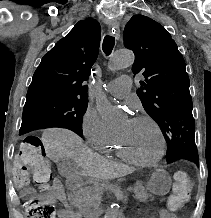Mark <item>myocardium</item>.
Segmentation results:
<instances>
[{
    "instance_id": "obj_1",
    "label": "myocardium",
    "mask_w": 211,
    "mask_h": 218,
    "mask_svg": "<svg viewBox=\"0 0 211 218\" xmlns=\"http://www.w3.org/2000/svg\"><path fill=\"white\" fill-rule=\"evenodd\" d=\"M133 119L146 120L154 126L160 138V152L152 160L140 159L137 156H135L133 153H131L130 150L125 145V143L123 142V140L118 135H116L115 139H116V143L119 149L121 150V152L124 154L126 158H128L130 161H132L135 164H138L141 166H152V165L157 164L163 158L164 153H165V135H164V132L161 126L154 118H152L149 115H138V116H135Z\"/></svg>"
}]
</instances>
